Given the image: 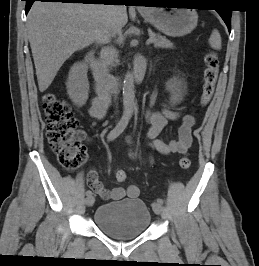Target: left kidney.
I'll use <instances>...</instances> for the list:
<instances>
[{
  "label": "left kidney",
  "mask_w": 259,
  "mask_h": 266,
  "mask_svg": "<svg viewBox=\"0 0 259 266\" xmlns=\"http://www.w3.org/2000/svg\"><path fill=\"white\" fill-rule=\"evenodd\" d=\"M185 83L181 79L174 77L166 83V90L170 92V103L175 105L182 100V95L185 92Z\"/></svg>",
  "instance_id": "left-kidney-1"
}]
</instances>
